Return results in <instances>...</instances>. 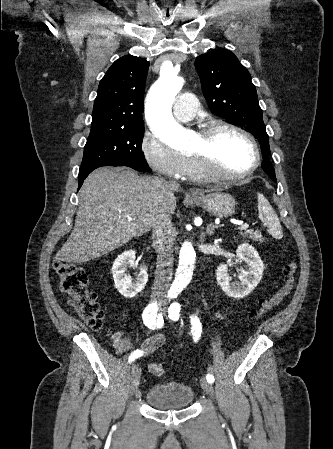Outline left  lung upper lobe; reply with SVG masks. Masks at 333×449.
Instances as JSON below:
<instances>
[{"mask_svg": "<svg viewBox=\"0 0 333 449\" xmlns=\"http://www.w3.org/2000/svg\"><path fill=\"white\" fill-rule=\"evenodd\" d=\"M195 67L210 110L215 115L238 123L257 138L264 158L262 168L272 180H276L275 170L268 158L269 137L262 119V109L248 70L231 51L222 48L198 56Z\"/></svg>", "mask_w": 333, "mask_h": 449, "instance_id": "5c2ea615", "label": "left lung upper lobe"}]
</instances>
